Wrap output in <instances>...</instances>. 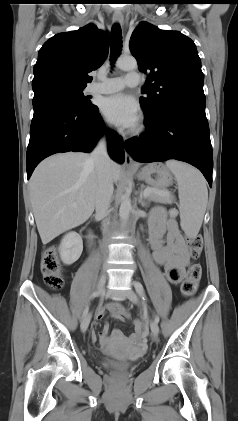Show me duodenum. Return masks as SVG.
Masks as SVG:
<instances>
[{
    "instance_id": "410a0bca",
    "label": "duodenum",
    "mask_w": 238,
    "mask_h": 421,
    "mask_svg": "<svg viewBox=\"0 0 238 421\" xmlns=\"http://www.w3.org/2000/svg\"><path fill=\"white\" fill-rule=\"evenodd\" d=\"M88 241L90 244L93 243V235L91 233L88 235Z\"/></svg>"
}]
</instances>
